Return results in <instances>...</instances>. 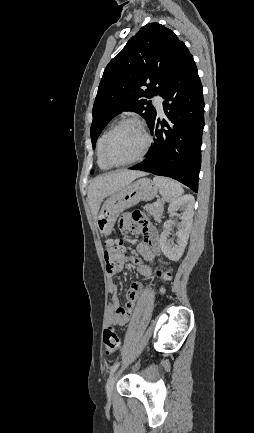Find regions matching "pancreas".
Wrapping results in <instances>:
<instances>
[{
    "label": "pancreas",
    "mask_w": 254,
    "mask_h": 433,
    "mask_svg": "<svg viewBox=\"0 0 254 433\" xmlns=\"http://www.w3.org/2000/svg\"><path fill=\"white\" fill-rule=\"evenodd\" d=\"M144 209L148 212L149 215L153 216L155 220L159 221L162 213H163V205L159 203L158 206L155 204H147L144 206Z\"/></svg>",
    "instance_id": "1"
}]
</instances>
